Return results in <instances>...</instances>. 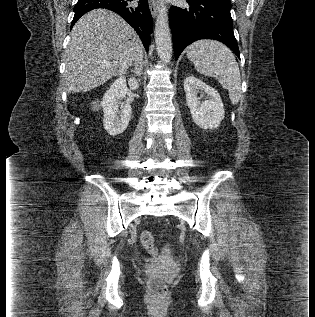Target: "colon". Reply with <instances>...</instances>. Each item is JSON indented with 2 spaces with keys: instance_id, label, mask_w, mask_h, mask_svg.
<instances>
[{
  "instance_id": "5ec220e1",
  "label": "colon",
  "mask_w": 315,
  "mask_h": 317,
  "mask_svg": "<svg viewBox=\"0 0 315 317\" xmlns=\"http://www.w3.org/2000/svg\"><path fill=\"white\" fill-rule=\"evenodd\" d=\"M141 243L143 247L150 253L156 254L157 248L155 246V240L153 234L149 230L142 231L140 235ZM148 285L151 291L152 297L156 299L163 298L167 293L166 284L158 277L151 276L148 278Z\"/></svg>"
}]
</instances>
